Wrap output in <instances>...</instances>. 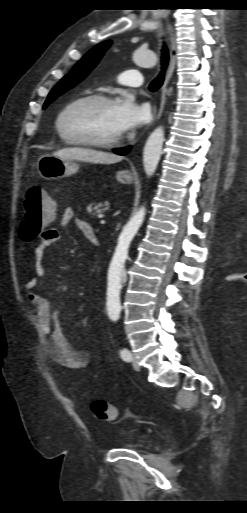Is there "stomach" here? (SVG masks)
Returning <instances> with one entry per match:
<instances>
[{
  "label": "stomach",
  "instance_id": "0dacf381",
  "mask_svg": "<svg viewBox=\"0 0 247 513\" xmlns=\"http://www.w3.org/2000/svg\"><path fill=\"white\" fill-rule=\"evenodd\" d=\"M37 168L43 179L54 180L77 173L80 164L72 160L61 159L55 155H44L39 158ZM116 179L123 184H130L133 178L129 171L123 170L117 172Z\"/></svg>",
  "mask_w": 247,
  "mask_h": 513
}]
</instances>
